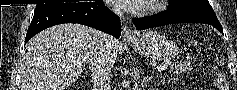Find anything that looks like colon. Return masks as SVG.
<instances>
[{"label":"colon","mask_w":237,"mask_h":90,"mask_svg":"<svg viewBox=\"0 0 237 90\" xmlns=\"http://www.w3.org/2000/svg\"><path fill=\"white\" fill-rule=\"evenodd\" d=\"M217 85L219 90H229L227 78L222 72L218 73Z\"/></svg>","instance_id":"obj_1"}]
</instances>
